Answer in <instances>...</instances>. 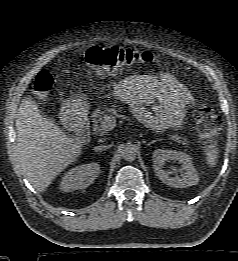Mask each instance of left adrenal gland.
Masks as SVG:
<instances>
[{
    "label": "left adrenal gland",
    "mask_w": 238,
    "mask_h": 261,
    "mask_svg": "<svg viewBox=\"0 0 238 261\" xmlns=\"http://www.w3.org/2000/svg\"><path fill=\"white\" fill-rule=\"evenodd\" d=\"M157 141H161V139L152 140L151 142H149V143L147 144V146H149V145H151V144H153V143H155V142H157Z\"/></svg>",
    "instance_id": "a2214340"
}]
</instances>
